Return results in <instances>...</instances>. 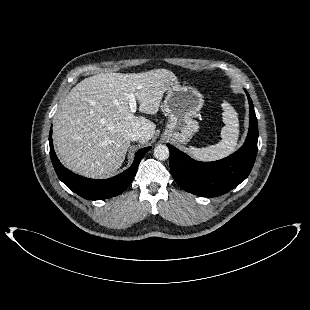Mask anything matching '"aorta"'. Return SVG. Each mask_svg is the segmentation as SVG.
Wrapping results in <instances>:
<instances>
[{
    "mask_svg": "<svg viewBox=\"0 0 310 310\" xmlns=\"http://www.w3.org/2000/svg\"><path fill=\"white\" fill-rule=\"evenodd\" d=\"M170 152L166 145H158L154 149V157L158 160H166L169 158Z\"/></svg>",
    "mask_w": 310,
    "mask_h": 310,
    "instance_id": "obj_1",
    "label": "aorta"
}]
</instances>
